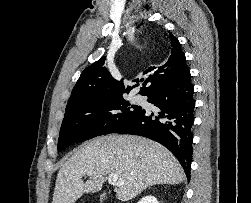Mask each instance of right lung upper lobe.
I'll list each match as a JSON object with an SVG mask.
<instances>
[{"label":"right lung upper lobe","instance_id":"1","mask_svg":"<svg viewBox=\"0 0 251 203\" xmlns=\"http://www.w3.org/2000/svg\"><path fill=\"white\" fill-rule=\"evenodd\" d=\"M170 36V56L162 66L149 67L143 72L147 75L144 87L139 92L145 95L154 86L174 77L181 72L186 65V58L182 52L181 45L176 37ZM105 57L87 67L80 75L74 86L68 104L79 102L110 99L123 97L135 86H127L125 89L122 81L115 80L104 66ZM138 82L139 80H134ZM146 86V87H145Z\"/></svg>","mask_w":251,"mask_h":203}]
</instances>
